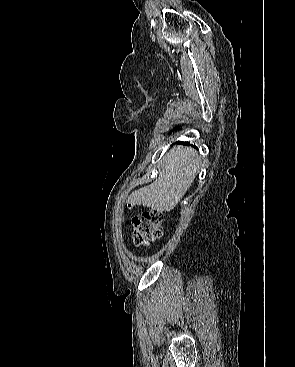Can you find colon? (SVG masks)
I'll use <instances>...</instances> for the list:
<instances>
[{
    "instance_id": "1",
    "label": "colon",
    "mask_w": 295,
    "mask_h": 367,
    "mask_svg": "<svg viewBox=\"0 0 295 367\" xmlns=\"http://www.w3.org/2000/svg\"><path fill=\"white\" fill-rule=\"evenodd\" d=\"M164 216L158 210H147L132 219L133 241L137 246L145 245L162 235Z\"/></svg>"
}]
</instances>
